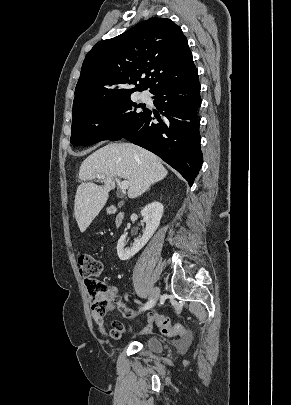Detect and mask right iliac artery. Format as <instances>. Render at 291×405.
<instances>
[{"mask_svg": "<svg viewBox=\"0 0 291 405\" xmlns=\"http://www.w3.org/2000/svg\"><path fill=\"white\" fill-rule=\"evenodd\" d=\"M154 305V301L152 299H150L144 306H143V310H147L149 308H151Z\"/></svg>", "mask_w": 291, "mask_h": 405, "instance_id": "82829eb1", "label": "right iliac artery"}]
</instances>
